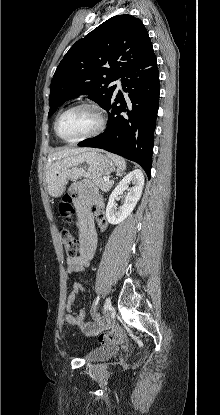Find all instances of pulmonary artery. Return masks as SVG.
I'll list each match as a JSON object with an SVG mask.
<instances>
[{
    "instance_id": "pulmonary-artery-1",
    "label": "pulmonary artery",
    "mask_w": 220,
    "mask_h": 415,
    "mask_svg": "<svg viewBox=\"0 0 220 415\" xmlns=\"http://www.w3.org/2000/svg\"><path fill=\"white\" fill-rule=\"evenodd\" d=\"M114 84L116 85V89L117 90H122V84H121V81L120 80H116L114 82Z\"/></svg>"
}]
</instances>
